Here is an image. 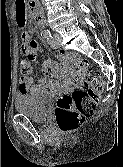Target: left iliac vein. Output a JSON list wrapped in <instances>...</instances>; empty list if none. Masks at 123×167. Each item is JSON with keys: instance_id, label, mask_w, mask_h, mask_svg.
Instances as JSON below:
<instances>
[{"instance_id": "1", "label": "left iliac vein", "mask_w": 123, "mask_h": 167, "mask_svg": "<svg viewBox=\"0 0 123 167\" xmlns=\"http://www.w3.org/2000/svg\"><path fill=\"white\" fill-rule=\"evenodd\" d=\"M61 43V36L58 33H54V47L53 48H58Z\"/></svg>"}]
</instances>
